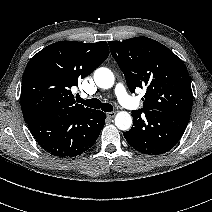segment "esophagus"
Returning <instances> with one entry per match:
<instances>
[{
    "mask_svg": "<svg viewBox=\"0 0 212 212\" xmlns=\"http://www.w3.org/2000/svg\"><path fill=\"white\" fill-rule=\"evenodd\" d=\"M106 115L108 118H113L116 115V112H108Z\"/></svg>",
    "mask_w": 212,
    "mask_h": 212,
    "instance_id": "34e87169",
    "label": "esophagus"
}]
</instances>
